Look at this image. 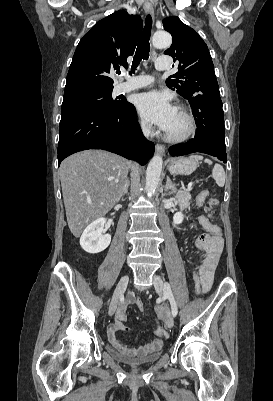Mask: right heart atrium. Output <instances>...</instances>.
Returning a JSON list of instances; mask_svg holds the SVG:
<instances>
[{"label":"right heart atrium","mask_w":273,"mask_h":401,"mask_svg":"<svg viewBox=\"0 0 273 401\" xmlns=\"http://www.w3.org/2000/svg\"><path fill=\"white\" fill-rule=\"evenodd\" d=\"M140 128L146 134H149L150 131H151L149 125L147 123L143 122V121L140 122Z\"/></svg>","instance_id":"obj_1"}]
</instances>
